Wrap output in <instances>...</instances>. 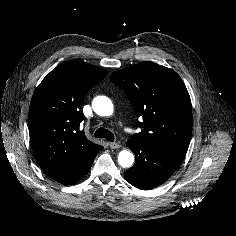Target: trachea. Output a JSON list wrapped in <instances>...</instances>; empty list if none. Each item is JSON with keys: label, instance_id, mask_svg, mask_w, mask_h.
<instances>
[{"label": "trachea", "instance_id": "obj_1", "mask_svg": "<svg viewBox=\"0 0 236 236\" xmlns=\"http://www.w3.org/2000/svg\"><path fill=\"white\" fill-rule=\"evenodd\" d=\"M94 137L104 138V139L111 141V142L114 141V134L105 128H98L94 133Z\"/></svg>", "mask_w": 236, "mask_h": 236}]
</instances>
